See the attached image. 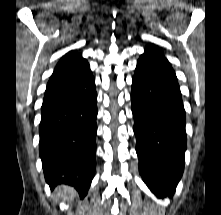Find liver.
<instances>
[{
	"mask_svg": "<svg viewBox=\"0 0 221 215\" xmlns=\"http://www.w3.org/2000/svg\"><path fill=\"white\" fill-rule=\"evenodd\" d=\"M58 194H60L64 199L71 200L75 196V190L72 187L60 185L56 188Z\"/></svg>",
	"mask_w": 221,
	"mask_h": 215,
	"instance_id": "obj_1",
	"label": "liver"
}]
</instances>
